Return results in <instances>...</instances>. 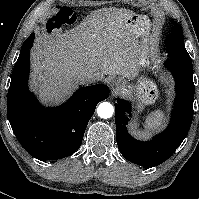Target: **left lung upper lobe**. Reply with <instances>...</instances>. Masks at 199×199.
Masks as SVG:
<instances>
[{"mask_svg": "<svg viewBox=\"0 0 199 199\" xmlns=\"http://www.w3.org/2000/svg\"><path fill=\"white\" fill-rule=\"evenodd\" d=\"M171 22L173 27L171 29V34L167 39L168 56L169 58L180 61L187 66H192L191 58L184 45L182 28L177 22L173 20H171Z\"/></svg>", "mask_w": 199, "mask_h": 199, "instance_id": "5c2ea615", "label": "left lung upper lobe"}]
</instances>
